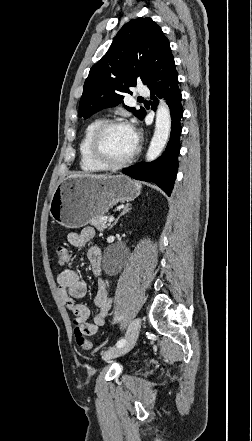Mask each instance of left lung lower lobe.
Returning a JSON list of instances; mask_svg holds the SVG:
<instances>
[{
    "instance_id": "left-lung-lower-lobe-1",
    "label": "left lung lower lobe",
    "mask_w": 252,
    "mask_h": 441,
    "mask_svg": "<svg viewBox=\"0 0 252 441\" xmlns=\"http://www.w3.org/2000/svg\"><path fill=\"white\" fill-rule=\"evenodd\" d=\"M147 86L151 90L154 108L158 103L157 97H164L167 101L172 119L170 140L162 156L156 161L148 164L139 163L122 171L134 179L154 182L167 195H170L178 169L179 137L182 131L180 120L183 116V109L182 95L178 87V74L169 44L163 48L154 76Z\"/></svg>"
}]
</instances>
